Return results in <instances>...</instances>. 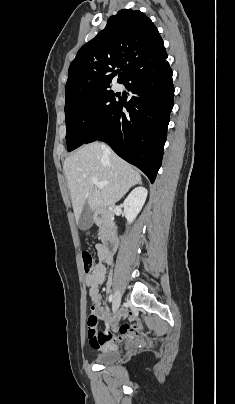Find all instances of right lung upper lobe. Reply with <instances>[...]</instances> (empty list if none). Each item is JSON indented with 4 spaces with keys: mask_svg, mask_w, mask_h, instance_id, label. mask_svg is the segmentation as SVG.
Listing matches in <instances>:
<instances>
[{
    "mask_svg": "<svg viewBox=\"0 0 235 404\" xmlns=\"http://www.w3.org/2000/svg\"><path fill=\"white\" fill-rule=\"evenodd\" d=\"M167 56L163 40L144 13L122 9L111 16L104 30L80 48L72 61L65 103L108 89L121 68L118 82Z\"/></svg>",
    "mask_w": 235,
    "mask_h": 404,
    "instance_id": "1",
    "label": "right lung upper lobe"
}]
</instances>
